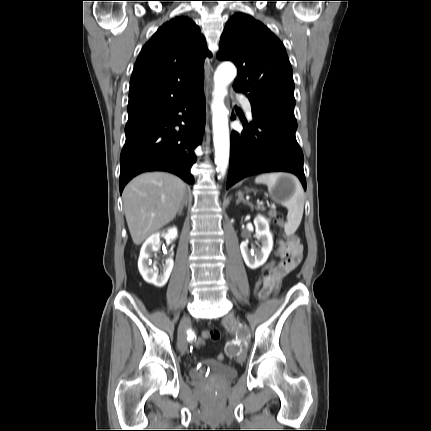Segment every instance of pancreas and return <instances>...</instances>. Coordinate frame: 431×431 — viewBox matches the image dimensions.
<instances>
[{
    "mask_svg": "<svg viewBox=\"0 0 431 431\" xmlns=\"http://www.w3.org/2000/svg\"><path fill=\"white\" fill-rule=\"evenodd\" d=\"M258 209H261V210H265V208L264 207H258ZM269 216L270 217H275V214L273 213V212H269Z\"/></svg>",
    "mask_w": 431,
    "mask_h": 431,
    "instance_id": "cf45deb5",
    "label": "pancreas"
}]
</instances>
